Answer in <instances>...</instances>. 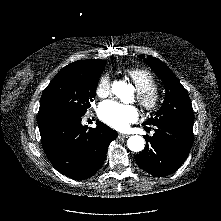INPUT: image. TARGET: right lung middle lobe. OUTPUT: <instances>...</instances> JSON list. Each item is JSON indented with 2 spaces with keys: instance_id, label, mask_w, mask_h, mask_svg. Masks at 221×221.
Listing matches in <instances>:
<instances>
[{
  "instance_id": "1",
  "label": "right lung middle lobe",
  "mask_w": 221,
  "mask_h": 221,
  "mask_svg": "<svg viewBox=\"0 0 221 221\" xmlns=\"http://www.w3.org/2000/svg\"><path fill=\"white\" fill-rule=\"evenodd\" d=\"M104 67L73 62L61 69L42 93L38 121L83 116L95 98Z\"/></svg>"
}]
</instances>
